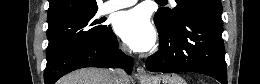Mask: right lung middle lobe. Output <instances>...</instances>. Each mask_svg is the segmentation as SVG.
<instances>
[{"instance_id": "dd1d6c3e", "label": "right lung middle lobe", "mask_w": 260, "mask_h": 84, "mask_svg": "<svg viewBox=\"0 0 260 84\" xmlns=\"http://www.w3.org/2000/svg\"><path fill=\"white\" fill-rule=\"evenodd\" d=\"M96 12L71 19L58 26L48 28L46 58L47 65L55 62L68 49L82 44H106L112 34L111 26L101 25Z\"/></svg>"}]
</instances>
